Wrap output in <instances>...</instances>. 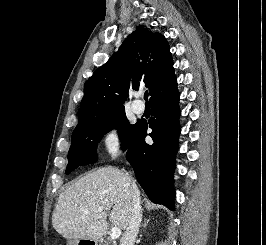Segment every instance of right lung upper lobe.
I'll return each mask as SVG.
<instances>
[{
	"instance_id": "obj_1",
	"label": "right lung upper lobe",
	"mask_w": 266,
	"mask_h": 245,
	"mask_svg": "<svg viewBox=\"0 0 266 245\" xmlns=\"http://www.w3.org/2000/svg\"><path fill=\"white\" fill-rule=\"evenodd\" d=\"M176 81L165 37L138 26L84 86L79 121L124 110L128 90L145 83L151 98ZM150 98V99H151Z\"/></svg>"
}]
</instances>
